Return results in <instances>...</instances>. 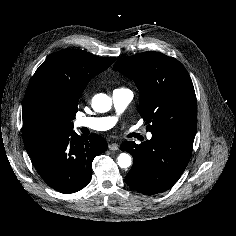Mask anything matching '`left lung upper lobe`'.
<instances>
[{
	"label": "left lung upper lobe",
	"instance_id": "5c2ea615",
	"mask_svg": "<svg viewBox=\"0 0 236 236\" xmlns=\"http://www.w3.org/2000/svg\"><path fill=\"white\" fill-rule=\"evenodd\" d=\"M140 90L139 114L152 134L181 133L195 137L197 102L191 78L175 58L144 52L119 59L113 66Z\"/></svg>",
	"mask_w": 236,
	"mask_h": 236
}]
</instances>
